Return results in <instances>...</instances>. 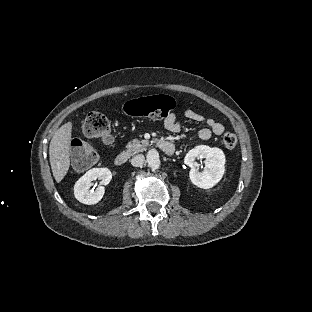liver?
Instances as JSON below:
<instances>
[{"instance_id":"6515ba94","label":"liver","mask_w":312,"mask_h":312,"mask_svg":"<svg viewBox=\"0 0 312 312\" xmlns=\"http://www.w3.org/2000/svg\"><path fill=\"white\" fill-rule=\"evenodd\" d=\"M72 123L62 125L54 134L49 146V159L53 176L61 182L70 167L69 148Z\"/></svg>"}]
</instances>
